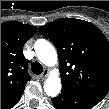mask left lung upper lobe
Masks as SVG:
<instances>
[{
  "label": "left lung upper lobe",
  "instance_id": "obj_1",
  "mask_svg": "<svg viewBox=\"0 0 109 109\" xmlns=\"http://www.w3.org/2000/svg\"><path fill=\"white\" fill-rule=\"evenodd\" d=\"M56 46L62 88L101 101L109 91V42L92 23L61 18L39 28Z\"/></svg>",
  "mask_w": 109,
  "mask_h": 109
}]
</instances>
